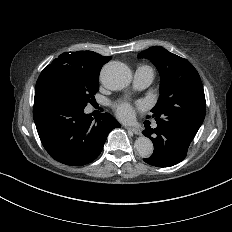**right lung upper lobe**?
<instances>
[{
	"instance_id": "right-lung-upper-lobe-1",
	"label": "right lung upper lobe",
	"mask_w": 232,
	"mask_h": 232,
	"mask_svg": "<svg viewBox=\"0 0 232 232\" xmlns=\"http://www.w3.org/2000/svg\"><path fill=\"white\" fill-rule=\"evenodd\" d=\"M111 59L93 51L63 53L56 60L69 66H78L93 73H100L102 65Z\"/></svg>"
}]
</instances>
